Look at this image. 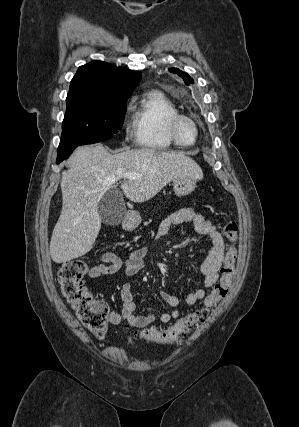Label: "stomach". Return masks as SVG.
I'll use <instances>...</instances> for the list:
<instances>
[{
    "label": "stomach",
    "mask_w": 299,
    "mask_h": 427,
    "mask_svg": "<svg viewBox=\"0 0 299 427\" xmlns=\"http://www.w3.org/2000/svg\"><path fill=\"white\" fill-rule=\"evenodd\" d=\"M196 188V179L191 177H181L173 181V189L177 196H187ZM142 221L139 212L132 213L126 220L125 226L128 230L135 229Z\"/></svg>",
    "instance_id": "stomach-1"
}]
</instances>
